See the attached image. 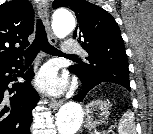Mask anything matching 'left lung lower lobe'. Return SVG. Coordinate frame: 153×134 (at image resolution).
Instances as JSON below:
<instances>
[{"label":"left lung lower lobe","mask_w":153,"mask_h":134,"mask_svg":"<svg viewBox=\"0 0 153 134\" xmlns=\"http://www.w3.org/2000/svg\"><path fill=\"white\" fill-rule=\"evenodd\" d=\"M69 70L72 71L70 68H69ZM78 77L81 79L82 89H81V91L77 95H75L73 97V99L76 100V101L81 102L84 99V97L86 96V94L91 89H93L95 86L99 85L100 83L87 81V80L83 79L82 77H80L79 75H78ZM126 89L130 91V87H127Z\"/></svg>","instance_id":"left-lung-lower-lobe-1"}]
</instances>
